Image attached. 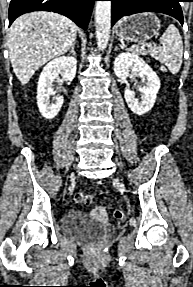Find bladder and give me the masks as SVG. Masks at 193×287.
<instances>
[{
    "label": "bladder",
    "instance_id": "31cf9c89",
    "mask_svg": "<svg viewBox=\"0 0 193 287\" xmlns=\"http://www.w3.org/2000/svg\"><path fill=\"white\" fill-rule=\"evenodd\" d=\"M61 231L77 239H99L109 232V228L86 211L70 210L62 217Z\"/></svg>",
    "mask_w": 193,
    "mask_h": 287
}]
</instances>
